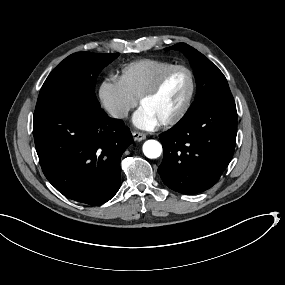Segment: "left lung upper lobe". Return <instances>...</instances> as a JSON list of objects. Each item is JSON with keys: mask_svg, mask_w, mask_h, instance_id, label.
<instances>
[{"mask_svg": "<svg viewBox=\"0 0 285 285\" xmlns=\"http://www.w3.org/2000/svg\"><path fill=\"white\" fill-rule=\"evenodd\" d=\"M167 49L183 51L194 69L197 92L195 102L188 112L211 102L234 101L225 76L203 54L185 43H178Z\"/></svg>", "mask_w": 285, "mask_h": 285, "instance_id": "left-lung-upper-lobe-1", "label": "left lung upper lobe"}]
</instances>
